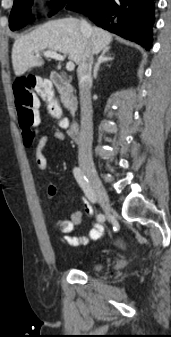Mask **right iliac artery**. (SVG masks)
Here are the masks:
<instances>
[{
	"label": "right iliac artery",
	"mask_w": 171,
	"mask_h": 337,
	"mask_svg": "<svg viewBox=\"0 0 171 337\" xmlns=\"http://www.w3.org/2000/svg\"><path fill=\"white\" fill-rule=\"evenodd\" d=\"M73 174H74V177L77 180L78 184L80 185V187L84 191L86 197L92 203H95L96 202V197H95L94 191H93V189H92V187H91L88 179L86 178V176L82 172V170L79 167H75L73 169ZM97 219L100 222H104L105 221L104 214H102V213L98 214Z\"/></svg>",
	"instance_id": "1"
}]
</instances>
